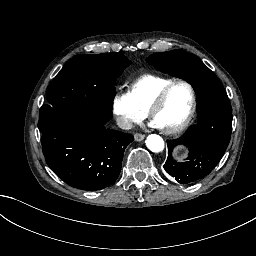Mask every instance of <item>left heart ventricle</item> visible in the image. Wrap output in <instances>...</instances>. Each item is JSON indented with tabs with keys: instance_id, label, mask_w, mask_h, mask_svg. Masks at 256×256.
<instances>
[{
	"instance_id": "b2bd125f",
	"label": "left heart ventricle",
	"mask_w": 256,
	"mask_h": 256,
	"mask_svg": "<svg viewBox=\"0 0 256 256\" xmlns=\"http://www.w3.org/2000/svg\"><path fill=\"white\" fill-rule=\"evenodd\" d=\"M191 108V93L188 87L178 83L171 88L163 104L152 112V118L163 124V131L169 132L179 125Z\"/></svg>"
}]
</instances>
